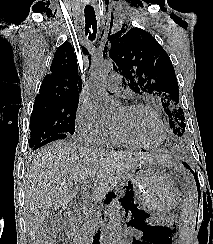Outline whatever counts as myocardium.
Returning a JSON list of instances; mask_svg holds the SVG:
<instances>
[{
	"label": "myocardium",
	"mask_w": 213,
	"mask_h": 244,
	"mask_svg": "<svg viewBox=\"0 0 213 244\" xmlns=\"http://www.w3.org/2000/svg\"><path fill=\"white\" fill-rule=\"evenodd\" d=\"M125 108L128 110L141 109V110H146V111H149L150 113H152L162 128V137L157 143H154V144H145V143L133 141V140H130L127 137H125L116 128V126L114 124H112L113 134L120 143H122L126 146H129V147L142 148V149H153V148L159 147L160 145L163 144V142L165 141L166 136H167V128H166V125H165L163 119L161 118L160 114L152 106L147 105V104H142V103H134V104H129V105L125 106Z\"/></svg>",
	"instance_id": "1"
}]
</instances>
